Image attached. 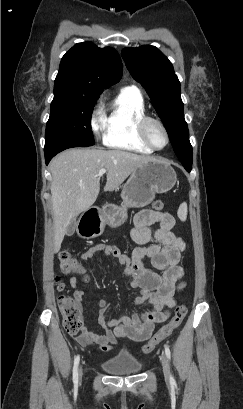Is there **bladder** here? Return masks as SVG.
Segmentation results:
<instances>
[{
    "label": "bladder",
    "instance_id": "obj_1",
    "mask_svg": "<svg viewBox=\"0 0 243 409\" xmlns=\"http://www.w3.org/2000/svg\"><path fill=\"white\" fill-rule=\"evenodd\" d=\"M103 368L111 375H132L142 370V365L133 359H118L105 362Z\"/></svg>",
    "mask_w": 243,
    "mask_h": 409
}]
</instances>
